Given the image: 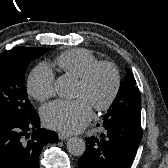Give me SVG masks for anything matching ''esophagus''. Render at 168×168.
<instances>
[{
	"instance_id": "1",
	"label": "esophagus",
	"mask_w": 168,
	"mask_h": 168,
	"mask_svg": "<svg viewBox=\"0 0 168 168\" xmlns=\"http://www.w3.org/2000/svg\"><path fill=\"white\" fill-rule=\"evenodd\" d=\"M58 137L60 140H68L71 136L65 133H58Z\"/></svg>"
}]
</instances>
